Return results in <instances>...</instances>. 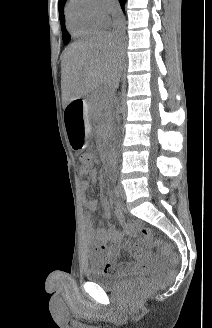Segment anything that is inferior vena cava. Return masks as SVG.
Listing matches in <instances>:
<instances>
[{
  "mask_svg": "<svg viewBox=\"0 0 212 328\" xmlns=\"http://www.w3.org/2000/svg\"><path fill=\"white\" fill-rule=\"evenodd\" d=\"M111 15L113 17V34L117 37H121L123 34L124 18L121 8L118 4H112L110 8Z\"/></svg>",
  "mask_w": 212,
  "mask_h": 328,
  "instance_id": "602c4592",
  "label": "inferior vena cava"
}]
</instances>
